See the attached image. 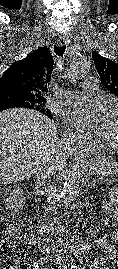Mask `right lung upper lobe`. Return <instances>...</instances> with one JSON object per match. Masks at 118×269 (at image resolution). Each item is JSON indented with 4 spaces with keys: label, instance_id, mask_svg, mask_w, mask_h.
I'll use <instances>...</instances> for the list:
<instances>
[{
    "label": "right lung upper lobe",
    "instance_id": "1",
    "mask_svg": "<svg viewBox=\"0 0 118 269\" xmlns=\"http://www.w3.org/2000/svg\"><path fill=\"white\" fill-rule=\"evenodd\" d=\"M52 69L53 58L47 47H40L13 63L0 78V108L14 106L9 100L11 95H23L43 102V107L35 109L52 119L50 110L45 108Z\"/></svg>",
    "mask_w": 118,
    "mask_h": 269
}]
</instances>
